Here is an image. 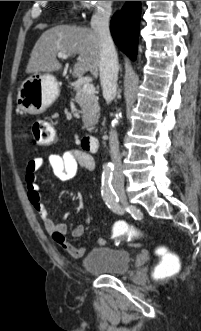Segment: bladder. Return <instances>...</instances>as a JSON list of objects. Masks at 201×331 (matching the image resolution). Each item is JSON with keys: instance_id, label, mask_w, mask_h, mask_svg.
Returning a JSON list of instances; mask_svg holds the SVG:
<instances>
[{"instance_id": "bladder-1", "label": "bladder", "mask_w": 201, "mask_h": 331, "mask_svg": "<svg viewBox=\"0 0 201 331\" xmlns=\"http://www.w3.org/2000/svg\"><path fill=\"white\" fill-rule=\"evenodd\" d=\"M132 255L126 249L97 246L82 260V267L90 273L101 276H121L131 265Z\"/></svg>"}]
</instances>
